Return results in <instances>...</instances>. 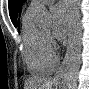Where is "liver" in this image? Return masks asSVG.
Masks as SVG:
<instances>
[{
	"instance_id": "obj_1",
	"label": "liver",
	"mask_w": 89,
	"mask_h": 89,
	"mask_svg": "<svg viewBox=\"0 0 89 89\" xmlns=\"http://www.w3.org/2000/svg\"><path fill=\"white\" fill-rule=\"evenodd\" d=\"M56 82L46 78L34 77L25 82L24 89H52Z\"/></svg>"
}]
</instances>
